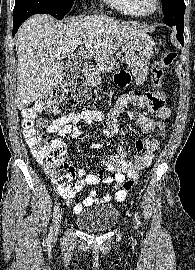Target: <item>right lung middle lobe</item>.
<instances>
[{"mask_svg": "<svg viewBox=\"0 0 195 270\" xmlns=\"http://www.w3.org/2000/svg\"><path fill=\"white\" fill-rule=\"evenodd\" d=\"M73 3L74 0H16L15 6H32L45 14L62 19L70 11Z\"/></svg>", "mask_w": 195, "mask_h": 270, "instance_id": "right-lung-middle-lobe-1", "label": "right lung middle lobe"}]
</instances>
